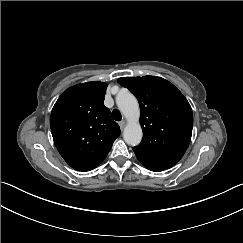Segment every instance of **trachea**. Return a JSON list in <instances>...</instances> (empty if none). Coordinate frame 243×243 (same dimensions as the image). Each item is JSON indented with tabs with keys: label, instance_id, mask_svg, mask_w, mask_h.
Listing matches in <instances>:
<instances>
[{
	"label": "trachea",
	"instance_id": "obj_1",
	"mask_svg": "<svg viewBox=\"0 0 243 243\" xmlns=\"http://www.w3.org/2000/svg\"><path fill=\"white\" fill-rule=\"evenodd\" d=\"M112 118L115 120V121H120L122 119V116H121V113L118 109H114L112 111Z\"/></svg>",
	"mask_w": 243,
	"mask_h": 243
}]
</instances>
